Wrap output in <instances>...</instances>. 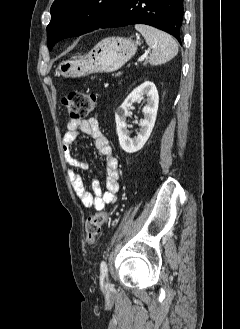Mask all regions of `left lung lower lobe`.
<instances>
[{
	"label": "left lung lower lobe",
	"instance_id": "left-lung-lower-lobe-1",
	"mask_svg": "<svg viewBox=\"0 0 240 329\" xmlns=\"http://www.w3.org/2000/svg\"><path fill=\"white\" fill-rule=\"evenodd\" d=\"M183 0H122L99 28L147 24L173 35L181 44Z\"/></svg>",
	"mask_w": 240,
	"mask_h": 329
}]
</instances>
